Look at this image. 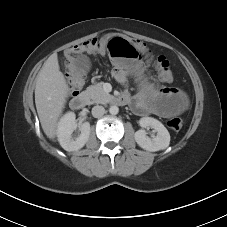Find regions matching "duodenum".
Listing matches in <instances>:
<instances>
[{
    "instance_id": "duodenum-1",
    "label": "duodenum",
    "mask_w": 227,
    "mask_h": 227,
    "mask_svg": "<svg viewBox=\"0 0 227 227\" xmlns=\"http://www.w3.org/2000/svg\"><path fill=\"white\" fill-rule=\"evenodd\" d=\"M89 100L90 98L87 93H79L71 99L70 105L73 109L80 110L88 104ZM115 101L120 105L127 103V99L124 96L117 97Z\"/></svg>"
}]
</instances>
